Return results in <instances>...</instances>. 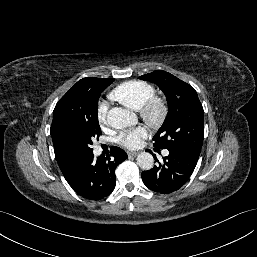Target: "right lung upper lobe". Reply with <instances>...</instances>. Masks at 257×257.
<instances>
[{
  "mask_svg": "<svg viewBox=\"0 0 257 257\" xmlns=\"http://www.w3.org/2000/svg\"><path fill=\"white\" fill-rule=\"evenodd\" d=\"M113 78H95V77H88L83 78L80 81H78L68 92L67 94L71 93L74 90L79 89L82 86L85 85H92L95 83H105L109 84L113 82ZM63 109L61 107L60 101L57 103L54 111H53V122L51 128L55 125V123L63 116ZM51 133V130H50ZM53 144H54V152L56 160L59 164V167L63 173L64 176H67L74 168L75 164L81 160L80 157H77L70 152L63 149L55 140L54 136L51 134Z\"/></svg>",
  "mask_w": 257,
  "mask_h": 257,
  "instance_id": "cb5924a9",
  "label": "right lung upper lobe"
}]
</instances>
